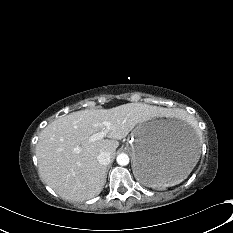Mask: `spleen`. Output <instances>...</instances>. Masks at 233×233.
<instances>
[{
    "label": "spleen",
    "instance_id": "1",
    "mask_svg": "<svg viewBox=\"0 0 233 233\" xmlns=\"http://www.w3.org/2000/svg\"><path fill=\"white\" fill-rule=\"evenodd\" d=\"M166 186H169V185H161V186H156V187H163V188H164V187H166Z\"/></svg>",
    "mask_w": 233,
    "mask_h": 233
}]
</instances>
